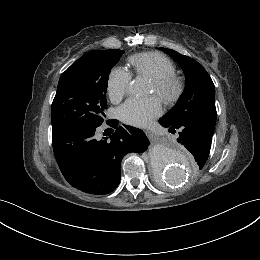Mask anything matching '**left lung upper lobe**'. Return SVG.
<instances>
[{
    "label": "left lung upper lobe",
    "instance_id": "obj_1",
    "mask_svg": "<svg viewBox=\"0 0 260 260\" xmlns=\"http://www.w3.org/2000/svg\"><path fill=\"white\" fill-rule=\"evenodd\" d=\"M162 49L175 57L186 75L184 93L165 117L175 124L195 120L215 128L217 117L215 87L207 71L200 63L188 56L171 49Z\"/></svg>",
    "mask_w": 260,
    "mask_h": 260
}]
</instances>
